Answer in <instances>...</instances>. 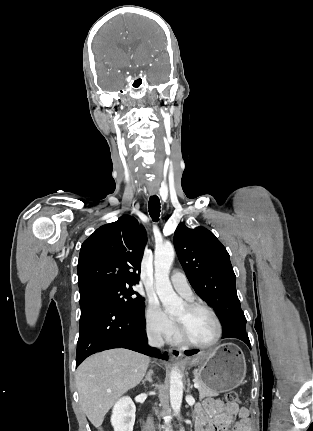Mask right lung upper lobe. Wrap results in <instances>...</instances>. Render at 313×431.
Segmentation results:
<instances>
[{
	"label": "right lung upper lobe",
	"mask_w": 313,
	"mask_h": 431,
	"mask_svg": "<svg viewBox=\"0 0 313 431\" xmlns=\"http://www.w3.org/2000/svg\"><path fill=\"white\" fill-rule=\"evenodd\" d=\"M146 241L138 221L129 215L99 227L81 246L80 298L103 288L138 283Z\"/></svg>",
	"instance_id": "obj_1"
}]
</instances>
